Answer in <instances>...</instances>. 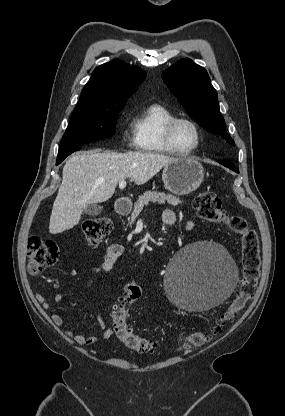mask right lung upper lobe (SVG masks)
I'll return each instance as SVG.
<instances>
[{
  "label": "right lung upper lobe",
  "instance_id": "obj_1",
  "mask_svg": "<svg viewBox=\"0 0 285 416\" xmlns=\"http://www.w3.org/2000/svg\"><path fill=\"white\" fill-rule=\"evenodd\" d=\"M145 77L146 73L137 66L119 60L105 63L93 71L78 104L102 106L125 103Z\"/></svg>",
  "mask_w": 285,
  "mask_h": 416
}]
</instances>
